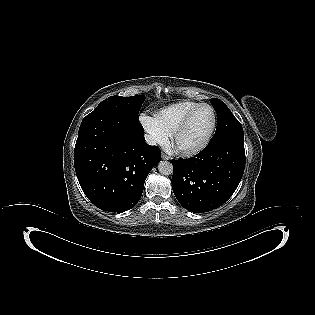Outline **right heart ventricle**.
Segmentation results:
<instances>
[{"instance_id":"1","label":"right heart ventricle","mask_w":315,"mask_h":315,"mask_svg":"<svg viewBox=\"0 0 315 315\" xmlns=\"http://www.w3.org/2000/svg\"><path fill=\"white\" fill-rule=\"evenodd\" d=\"M198 104V102L190 100L179 101L157 111L155 118L168 135H172L187 113Z\"/></svg>"}]
</instances>
